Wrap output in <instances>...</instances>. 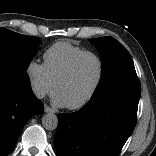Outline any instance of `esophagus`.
<instances>
[{"label": "esophagus", "mask_w": 156, "mask_h": 156, "mask_svg": "<svg viewBox=\"0 0 156 156\" xmlns=\"http://www.w3.org/2000/svg\"><path fill=\"white\" fill-rule=\"evenodd\" d=\"M44 112L46 113H55V110L50 108L49 106L44 107Z\"/></svg>", "instance_id": "34e87169"}]
</instances>
